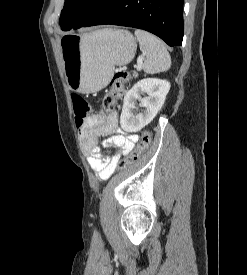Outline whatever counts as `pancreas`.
<instances>
[{
	"label": "pancreas",
	"mask_w": 247,
	"mask_h": 275,
	"mask_svg": "<svg viewBox=\"0 0 247 275\" xmlns=\"http://www.w3.org/2000/svg\"><path fill=\"white\" fill-rule=\"evenodd\" d=\"M133 77H134V78H137V77H138V73H137V72H134V73H133Z\"/></svg>",
	"instance_id": "1"
}]
</instances>
